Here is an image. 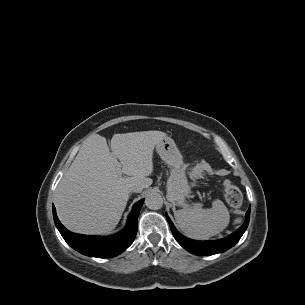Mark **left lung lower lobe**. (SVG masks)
Masks as SVG:
<instances>
[{
  "label": "left lung lower lobe",
  "instance_id": "0a47b994",
  "mask_svg": "<svg viewBox=\"0 0 305 305\" xmlns=\"http://www.w3.org/2000/svg\"><path fill=\"white\" fill-rule=\"evenodd\" d=\"M166 218L169 222L172 234L174 238L178 241V243L185 248L187 251H189L192 254L195 255H213L217 253L224 252L234 246L242 237L243 233L247 229L249 218H250V209L246 213V220L244 224L234 233H232L230 236L220 239V240H214V241H195L188 239L181 235L176 228L174 227L173 223L169 219V217L166 215Z\"/></svg>",
  "mask_w": 305,
  "mask_h": 305
}]
</instances>
